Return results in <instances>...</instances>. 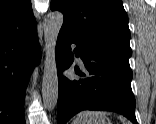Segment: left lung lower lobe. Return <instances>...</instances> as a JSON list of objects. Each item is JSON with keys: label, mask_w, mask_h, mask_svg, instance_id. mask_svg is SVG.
<instances>
[{"label": "left lung lower lobe", "mask_w": 156, "mask_h": 124, "mask_svg": "<svg viewBox=\"0 0 156 124\" xmlns=\"http://www.w3.org/2000/svg\"><path fill=\"white\" fill-rule=\"evenodd\" d=\"M73 43L76 44L74 52L70 47ZM74 56L80 57L86 68V73L75 69V73L82 77L79 80H69L62 75L71 66ZM56 64L57 124H66L82 110L113 111L138 124L129 59L107 49L87 46L61 29L56 45Z\"/></svg>", "instance_id": "obj_1"}]
</instances>
